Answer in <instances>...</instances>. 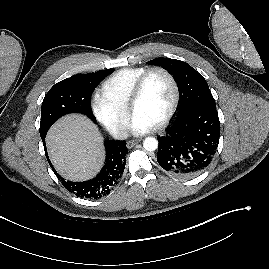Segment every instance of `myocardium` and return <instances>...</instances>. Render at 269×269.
I'll list each match as a JSON object with an SVG mask.
<instances>
[{
  "label": "myocardium",
  "mask_w": 269,
  "mask_h": 269,
  "mask_svg": "<svg viewBox=\"0 0 269 269\" xmlns=\"http://www.w3.org/2000/svg\"><path fill=\"white\" fill-rule=\"evenodd\" d=\"M155 72L163 73L170 80L172 88H173V99L166 115L163 117V119L159 123L153 126V129L157 130V129L163 128L169 123L174 113L176 112V109L180 101L179 84L176 77L173 75L171 71L161 66L148 68L137 80L133 88V91L131 93L130 99L128 101L127 109L129 113L133 115L134 108L144 92V89H145V86L149 77Z\"/></svg>",
  "instance_id": "1"
}]
</instances>
